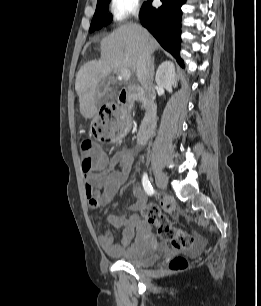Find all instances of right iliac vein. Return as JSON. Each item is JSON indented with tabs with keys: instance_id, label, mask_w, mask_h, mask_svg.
<instances>
[{
	"instance_id": "obj_1",
	"label": "right iliac vein",
	"mask_w": 261,
	"mask_h": 306,
	"mask_svg": "<svg viewBox=\"0 0 261 306\" xmlns=\"http://www.w3.org/2000/svg\"><path fill=\"white\" fill-rule=\"evenodd\" d=\"M153 173L155 175V179H156V183H157L158 187L161 188V189H166L167 184H168V180H167V177L164 174V172H162L159 168L154 167L153 168Z\"/></svg>"
}]
</instances>
